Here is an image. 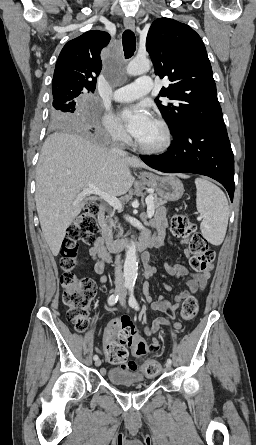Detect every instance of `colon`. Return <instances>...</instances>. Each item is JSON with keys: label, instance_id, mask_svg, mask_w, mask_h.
Listing matches in <instances>:
<instances>
[{"label": "colon", "instance_id": "1", "mask_svg": "<svg viewBox=\"0 0 256 445\" xmlns=\"http://www.w3.org/2000/svg\"><path fill=\"white\" fill-rule=\"evenodd\" d=\"M98 216L97 204L87 206L70 226L61 248L60 264L63 273L60 283L64 289L62 299L68 308L67 317L77 331H84L87 328L88 306L95 295L96 285L89 277H78L73 269L80 244L90 243L98 232ZM170 228L174 236L189 239L192 267L199 272H210L214 267L215 253L189 217L181 213L173 215ZM197 312V299L188 297L183 304L181 317L190 321ZM118 320L121 328L118 341L108 343L104 347L107 359L117 364L125 362L128 355L127 346L131 348L135 356H144L148 350L147 343L138 335L134 321L126 315ZM159 371L160 364L157 361H146L143 364V372L149 377L155 376Z\"/></svg>", "mask_w": 256, "mask_h": 445}]
</instances>
